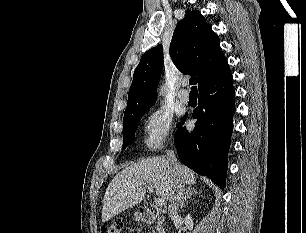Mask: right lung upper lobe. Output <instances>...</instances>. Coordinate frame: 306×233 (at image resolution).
<instances>
[{
    "instance_id": "1",
    "label": "right lung upper lobe",
    "mask_w": 306,
    "mask_h": 233,
    "mask_svg": "<svg viewBox=\"0 0 306 233\" xmlns=\"http://www.w3.org/2000/svg\"><path fill=\"white\" fill-rule=\"evenodd\" d=\"M169 53L181 72L197 76L198 88L229 67L219 38L196 10H187L178 22ZM162 68V45L142 55L133 75L124 117L154 104Z\"/></svg>"
}]
</instances>
